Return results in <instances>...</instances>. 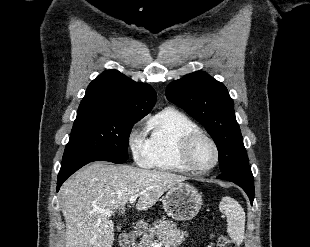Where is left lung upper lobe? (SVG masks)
Returning <instances> with one entry per match:
<instances>
[{"instance_id":"left-lung-upper-lobe-1","label":"left lung upper lobe","mask_w":310,"mask_h":247,"mask_svg":"<svg viewBox=\"0 0 310 247\" xmlns=\"http://www.w3.org/2000/svg\"><path fill=\"white\" fill-rule=\"evenodd\" d=\"M166 97L207 129L217 145L222 173L249 167L234 102L221 82L205 72H194L170 83Z\"/></svg>"}]
</instances>
